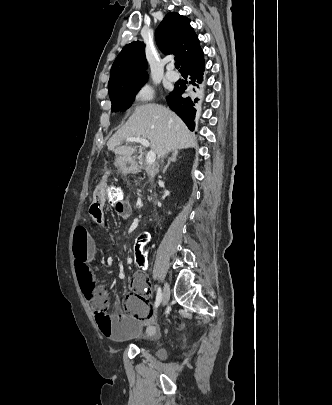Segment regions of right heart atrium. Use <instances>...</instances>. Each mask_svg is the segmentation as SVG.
Instances as JSON below:
<instances>
[{
    "mask_svg": "<svg viewBox=\"0 0 332 405\" xmlns=\"http://www.w3.org/2000/svg\"><path fill=\"white\" fill-rule=\"evenodd\" d=\"M156 97V89L150 84L140 85L133 93L132 99L136 104L151 102Z\"/></svg>",
    "mask_w": 332,
    "mask_h": 405,
    "instance_id": "d8ad5b80",
    "label": "right heart atrium"
}]
</instances>
